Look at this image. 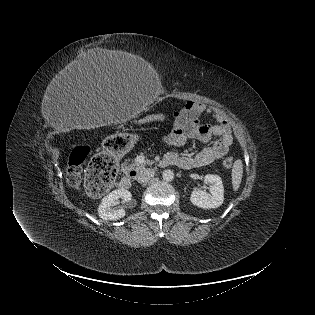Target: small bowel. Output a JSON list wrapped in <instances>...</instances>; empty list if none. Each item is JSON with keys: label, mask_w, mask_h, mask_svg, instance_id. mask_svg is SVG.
<instances>
[{"label": "small bowel", "mask_w": 315, "mask_h": 315, "mask_svg": "<svg viewBox=\"0 0 315 315\" xmlns=\"http://www.w3.org/2000/svg\"><path fill=\"white\" fill-rule=\"evenodd\" d=\"M204 114L211 115L217 123H200V117ZM173 119V128L163 137L167 144L180 148L191 139L211 143L191 156L180 155L175 150L170 151L165 158L170 160L171 164L183 169H193L211 164L228 153L233 138L229 123L221 112L202 103L187 102L181 110L173 113ZM214 138L216 139L213 140Z\"/></svg>", "instance_id": "small-bowel-1"}]
</instances>
